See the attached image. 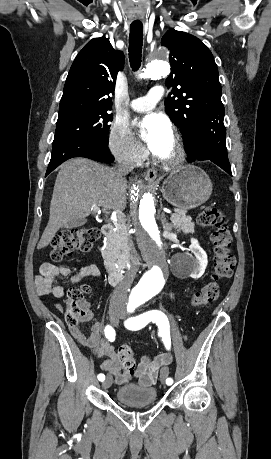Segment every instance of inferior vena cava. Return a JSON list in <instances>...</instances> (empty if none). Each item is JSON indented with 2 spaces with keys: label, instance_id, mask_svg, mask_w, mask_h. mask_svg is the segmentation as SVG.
<instances>
[{
  "label": "inferior vena cava",
  "instance_id": "602c4592",
  "mask_svg": "<svg viewBox=\"0 0 271 459\" xmlns=\"http://www.w3.org/2000/svg\"><path fill=\"white\" fill-rule=\"evenodd\" d=\"M131 170H133L131 164L124 162V164H118L115 172L119 174V176H126ZM131 277H133V275H130V271H128L123 281H120L115 289H113L111 301H115V299H127V291L131 285Z\"/></svg>",
  "mask_w": 271,
  "mask_h": 459
}]
</instances>
